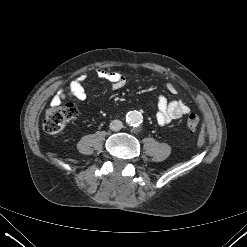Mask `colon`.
<instances>
[{"mask_svg":"<svg viewBox=\"0 0 247 247\" xmlns=\"http://www.w3.org/2000/svg\"><path fill=\"white\" fill-rule=\"evenodd\" d=\"M78 112L74 104L67 103L64 105L54 104L48 106L45 112L43 122L44 130L51 135L57 134L77 116ZM200 123L198 114L191 113L187 118V128L194 132Z\"/></svg>","mask_w":247,"mask_h":247,"instance_id":"5ec220e1","label":"colon"}]
</instances>
